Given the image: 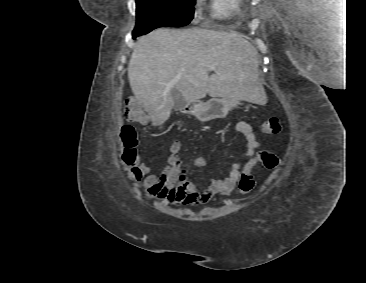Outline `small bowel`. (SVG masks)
Listing matches in <instances>:
<instances>
[{"mask_svg":"<svg viewBox=\"0 0 366 283\" xmlns=\"http://www.w3.org/2000/svg\"><path fill=\"white\" fill-rule=\"evenodd\" d=\"M234 130L246 141V164L241 166L233 163L224 178L213 179L203 190H199L189 180L192 164L201 165V159L185 162L181 155L182 144L172 139L169 156L165 166L158 172L144 164L138 157L132 162H126L128 171L136 181L143 182V193L149 198H156L160 203L174 205H202L209 202L216 194L229 195L238 185L239 178L245 166L254 161L259 141L250 123L239 121Z\"/></svg>","mask_w":366,"mask_h":283,"instance_id":"small-bowel-1","label":"small bowel"}]
</instances>
